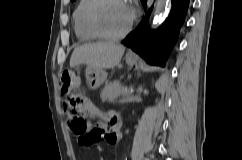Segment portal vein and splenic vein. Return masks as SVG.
Masks as SVG:
<instances>
[{
    "label": "portal vein and splenic vein",
    "instance_id": "obj_1",
    "mask_svg": "<svg viewBox=\"0 0 242 160\" xmlns=\"http://www.w3.org/2000/svg\"><path fill=\"white\" fill-rule=\"evenodd\" d=\"M129 94V92L128 91H126L125 93H124V95L123 96H126V95H128Z\"/></svg>",
    "mask_w": 242,
    "mask_h": 160
}]
</instances>
